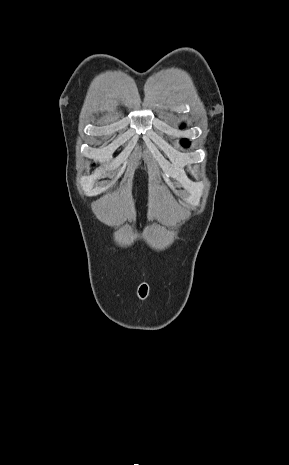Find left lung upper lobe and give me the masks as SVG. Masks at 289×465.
<instances>
[{
    "label": "left lung upper lobe",
    "mask_w": 289,
    "mask_h": 465,
    "mask_svg": "<svg viewBox=\"0 0 289 465\" xmlns=\"http://www.w3.org/2000/svg\"><path fill=\"white\" fill-rule=\"evenodd\" d=\"M181 142L183 146L185 147L189 146V142L186 139H183Z\"/></svg>",
    "instance_id": "left-lung-upper-lobe-1"
}]
</instances>
